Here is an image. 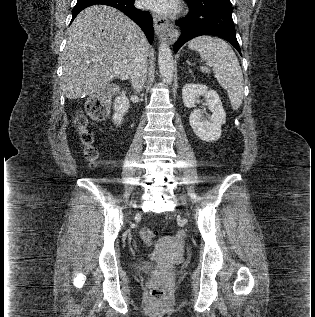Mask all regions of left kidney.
Segmentation results:
<instances>
[{
    "mask_svg": "<svg viewBox=\"0 0 315 317\" xmlns=\"http://www.w3.org/2000/svg\"><path fill=\"white\" fill-rule=\"evenodd\" d=\"M200 95L204 96L205 105L212 114L209 119H205L202 109H194L190 114L189 123L201 140L213 142L221 136V127L226 122V113L217 92L208 90L207 86L189 83L184 85L182 89L183 103L187 108L195 107L196 98Z\"/></svg>",
    "mask_w": 315,
    "mask_h": 317,
    "instance_id": "1",
    "label": "left kidney"
}]
</instances>
